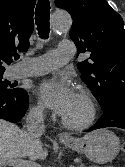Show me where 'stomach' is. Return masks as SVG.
Here are the masks:
<instances>
[{"mask_svg": "<svg viewBox=\"0 0 125 167\" xmlns=\"http://www.w3.org/2000/svg\"><path fill=\"white\" fill-rule=\"evenodd\" d=\"M69 148L83 153L89 160L103 164L113 160L119 153L120 140L111 131L99 129L81 139L65 143Z\"/></svg>", "mask_w": 125, "mask_h": 167, "instance_id": "1", "label": "stomach"}]
</instances>
